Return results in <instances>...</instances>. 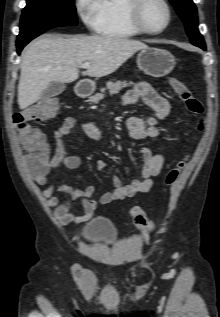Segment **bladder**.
Returning <instances> with one entry per match:
<instances>
[{
  "instance_id": "bladder-1",
  "label": "bladder",
  "mask_w": 220,
  "mask_h": 317,
  "mask_svg": "<svg viewBox=\"0 0 220 317\" xmlns=\"http://www.w3.org/2000/svg\"><path fill=\"white\" fill-rule=\"evenodd\" d=\"M79 236L90 244L110 242L116 239L117 229L108 219L95 217L81 228Z\"/></svg>"
}]
</instances>
